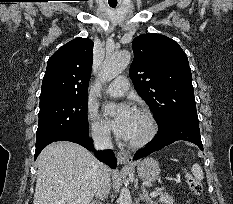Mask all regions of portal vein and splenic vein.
Listing matches in <instances>:
<instances>
[{"label":"portal vein and splenic vein","instance_id":"portal-vein-and-splenic-vein-1","mask_svg":"<svg viewBox=\"0 0 233 204\" xmlns=\"http://www.w3.org/2000/svg\"><path fill=\"white\" fill-rule=\"evenodd\" d=\"M158 195H159V191L158 190L151 193V197H156Z\"/></svg>","mask_w":233,"mask_h":204}]
</instances>
